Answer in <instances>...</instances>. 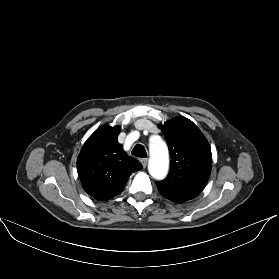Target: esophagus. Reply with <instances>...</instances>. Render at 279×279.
<instances>
[{
	"instance_id": "34e87169",
	"label": "esophagus",
	"mask_w": 279,
	"mask_h": 279,
	"mask_svg": "<svg viewBox=\"0 0 279 279\" xmlns=\"http://www.w3.org/2000/svg\"><path fill=\"white\" fill-rule=\"evenodd\" d=\"M140 162L142 163L143 167L145 168L147 166L148 159L147 158H141Z\"/></svg>"
}]
</instances>
